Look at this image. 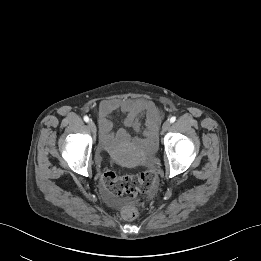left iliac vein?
<instances>
[{
	"instance_id": "1",
	"label": "left iliac vein",
	"mask_w": 261,
	"mask_h": 261,
	"mask_svg": "<svg viewBox=\"0 0 261 261\" xmlns=\"http://www.w3.org/2000/svg\"><path fill=\"white\" fill-rule=\"evenodd\" d=\"M170 126H171V123H170V121H165L164 123H163V126H162V130L165 132V131H168L169 130V128H170Z\"/></svg>"
}]
</instances>
